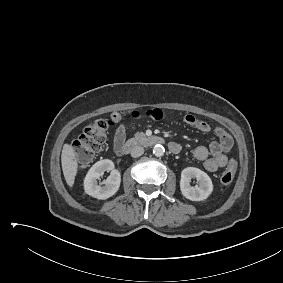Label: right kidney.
<instances>
[{"label": "right kidney", "instance_id": "right-kidney-1", "mask_svg": "<svg viewBox=\"0 0 283 283\" xmlns=\"http://www.w3.org/2000/svg\"><path fill=\"white\" fill-rule=\"evenodd\" d=\"M105 171H111L110 176L104 180L103 186L98 185L97 179ZM121 176L118 170L114 169V163L109 159L96 162L88 171L84 179L85 192L97 199H107L113 196L119 189Z\"/></svg>", "mask_w": 283, "mask_h": 283}]
</instances>
